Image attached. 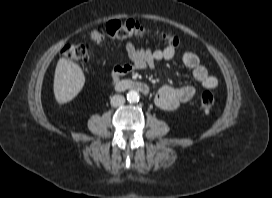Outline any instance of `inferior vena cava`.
Returning <instances> with one entry per match:
<instances>
[{
  "mask_svg": "<svg viewBox=\"0 0 272 198\" xmlns=\"http://www.w3.org/2000/svg\"><path fill=\"white\" fill-rule=\"evenodd\" d=\"M110 103H111V106L118 107V106H121L125 103V98L122 95H114L111 98Z\"/></svg>",
  "mask_w": 272,
  "mask_h": 198,
  "instance_id": "602c4592",
  "label": "inferior vena cava"
}]
</instances>
